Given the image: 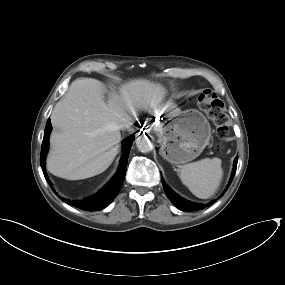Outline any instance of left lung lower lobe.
<instances>
[{
	"label": "left lung lower lobe",
	"instance_id": "0a47b994",
	"mask_svg": "<svg viewBox=\"0 0 285 285\" xmlns=\"http://www.w3.org/2000/svg\"><path fill=\"white\" fill-rule=\"evenodd\" d=\"M237 162H238V157H236L234 159V167L232 170V174H231V178L229 180V184L227 185V188L229 187V185L231 184L235 172H236V168H237ZM162 184L165 190V193L167 195V197L171 200V202L180 210L184 211V212H191L194 210H198V209H202L204 207V205L202 204H196V203H192L184 198H182L181 196H179L178 194H176L172 189H170L164 182V180L162 179ZM227 189H225L226 191ZM224 191V193H225ZM223 193V194H224ZM222 194V195H223Z\"/></svg>",
	"mask_w": 285,
	"mask_h": 285
}]
</instances>
